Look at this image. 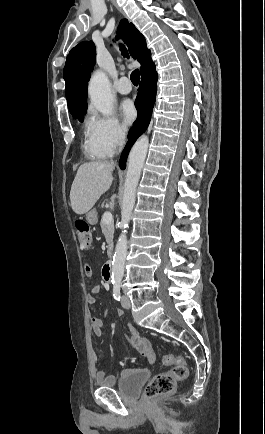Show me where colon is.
Segmentation results:
<instances>
[{"instance_id":"5ec220e1","label":"colon","mask_w":265,"mask_h":434,"mask_svg":"<svg viewBox=\"0 0 265 434\" xmlns=\"http://www.w3.org/2000/svg\"><path fill=\"white\" fill-rule=\"evenodd\" d=\"M75 231L82 251L89 252L94 246V236L89 225L85 221L75 222ZM90 271V268L87 269ZM163 362L172 365L169 372H159L153 376L152 380L145 388L146 401H151V396L170 393L175 390L180 381L187 379L189 369L185 361L180 356L167 355Z\"/></svg>"}]
</instances>
